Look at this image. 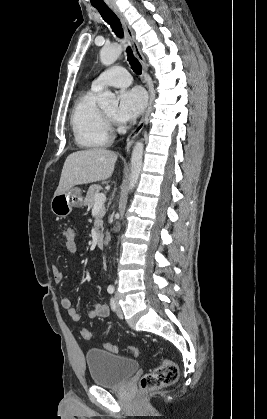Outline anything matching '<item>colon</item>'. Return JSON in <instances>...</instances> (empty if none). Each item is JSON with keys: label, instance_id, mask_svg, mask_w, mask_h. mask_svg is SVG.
Returning a JSON list of instances; mask_svg holds the SVG:
<instances>
[{"label": "colon", "instance_id": "5ec220e1", "mask_svg": "<svg viewBox=\"0 0 267 419\" xmlns=\"http://www.w3.org/2000/svg\"><path fill=\"white\" fill-rule=\"evenodd\" d=\"M63 237L65 244L75 245L76 242V230L73 226L69 225L63 229ZM81 336L85 340L91 338V333L88 329H81ZM104 348L110 352H117V347L111 343H105ZM128 351L131 355L137 356L138 349L134 346H129ZM179 376V368L175 362L169 359H162L161 363L146 373L140 381V387L143 390H151L160 387H165L174 384Z\"/></svg>", "mask_w": 267, "mask_h": 419}]
</instances>
